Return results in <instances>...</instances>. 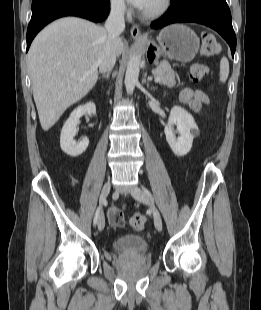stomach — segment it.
<instances>
[{
	"instance_id": "obj_1",
	"label": "stomach",
	"mask_w": 261,
	"mask_h": 310,
	"mask_svg": "<svg viewBox=\"0 0 261 310\" xmlns=\"http://www.w3.org/2000/svg\"><path fill=\"white\" fill-rule=\"evenodd\" d=\"M157 45L154 41L144 43L148 57L154 63L158 62L161 55L187 63L196 56L200 40L196 33L183 24H172L161 30Z\"/></svg>"
}]
</instances>
